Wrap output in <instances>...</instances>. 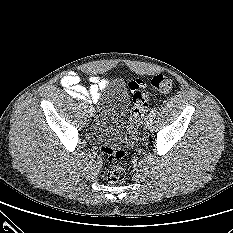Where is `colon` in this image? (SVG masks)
<instances>
[{
	"mask_svg": "<svg viewBox=\"0 0 233 233\" xmlns=\"http://www.w3.org/2000/svg\"><path fill=\"white\" fill-rule=\"evenodd\" d=\"M151 86L154 90L168 94L172 91L173 82L165 75H156L151 80ZM132 97V107L130 111V120L135 128H137L142 120L144 113L148 108V93L141 88L140 85H134ZM103 153L106 155L107 172L106 177L111 183H120L126 177V152L120 148L113 146L102 147Z\"/></svg>",
	"mask_w": 233,
	"mask_h": 233,
	"instance_id": "1",
	"label": "colon"
}]
</instances>
